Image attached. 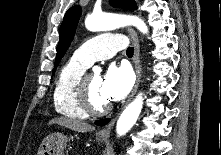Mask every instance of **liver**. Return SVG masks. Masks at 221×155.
<instances>
[{
	"instance_id": "1",
	"label": "liver",
	"mask_w": 221,
	"mask_h": 155,
	"mask_svg": "<svg viewBox=\"0 0 221 155\" xmlns=\"http://www.w3.org/2000/svg\"><path fill=\"white\" fill-rule=\"evenodd\" d=\"M52 124H58L60 126H64L66 128H69L71 130L77 131V132H91L95 130V127L87 124L86 122H82L80 120H75L72 118H66V117H57L53 118L51 121H49V125Z\"/></svg>"
}]
</instances>
